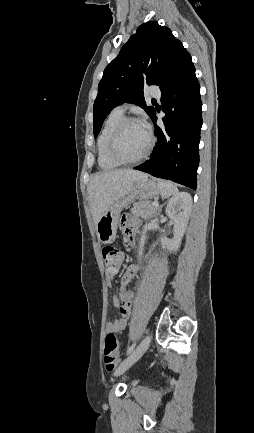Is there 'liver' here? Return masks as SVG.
<instances>
[{
  "instance_id": "obj_1",
  "label": "liver",
  "mask_w": 254,
  "mask_h": 433,
  "mask_svg": "<svg viewBox=\"0 0 254 433\" xmlns=\"http://www.w3.org/2000/svg\"><path fill=\"white\" fill-rule=\"evenodd\" d=\"M143 177L147 175L132 169L96 173L88 186V199L95 225L106 210L116 200L126 196L135 181Z\"/></svg>"
}]
</instances>
